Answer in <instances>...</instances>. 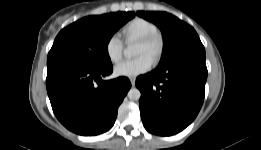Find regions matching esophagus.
<instances>
[{
	"mask_svg": "<svg viewBox=\"0 0 261 150\" xmlns=\"http://www.w3.org/2000/svg\"><path fill=\"white\" fill-rule=\"evenodd\" d=\"M130 82H131V85L134 87V86H135L136 79H135V78H130Z\"/></svg>",
	"mask_w": 261,
	"mask_h": 150,
	"instance_id": "1",
	"label": "esophagus"
}]
</instances>
